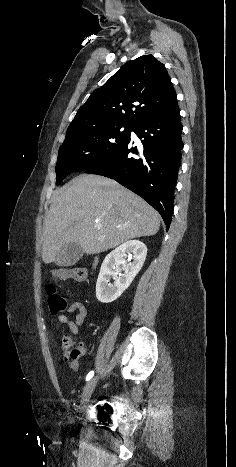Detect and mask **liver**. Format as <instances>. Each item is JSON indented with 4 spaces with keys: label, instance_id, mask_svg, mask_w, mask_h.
<instances>
[{
    "label": "liver",
    "instance_id": "obj_1",
    "mask_svg": "<svg viewBox=\"0 0 236 467\" xmlns=\"http://www.w3.org/2000/svg\"><path fill=\"white\" fill-rule=\"evenodd\" d=\"M159 214L141 197L109 178L81 174L55 191L43 232L42 260L77 243L86 254L115 248L134 238L155 235Z\"/></svg>",
    "mask_w": 236,
    "mask_h": 467
}]
</instances>
